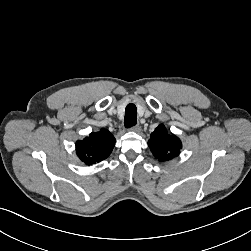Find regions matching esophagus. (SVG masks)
<instances>
[{
  "mask_svg": "<svg viewBox=\"0 0 251 251\" xmlns=\"http://www.w3.org/2000/svg\"><path fill=\"white\" fill-rule=\"evenodd\" d=\"M130 130L133 132L139 133L141 131V127L137 124V125L132 126Z\"/></svg>",
  "mask_w": 251,
  "mask_h": 251,
  "instance_id": "esophagus-1",
  "label": "esophagus"
}]
</instances>
